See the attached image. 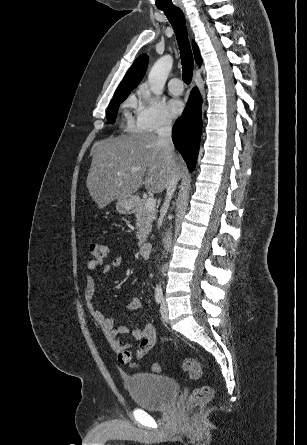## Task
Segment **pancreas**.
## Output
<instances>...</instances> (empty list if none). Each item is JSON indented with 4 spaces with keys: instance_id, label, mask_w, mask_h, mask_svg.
<instances>
[{
    "instance_id": "pancreas-1",
    "label": "pancreas",
    "mask_w": 307,
    "mask_h": 445,
    "mask_svg": "<svg viewBox=\"0 0 307 445\" xmlns=\"http://www.w3.org/2000/svg\"><path fill=\"white\" fill-rule=\"evenodd\" d=\"M145 204L146 198H142L135 208L138 245H143L144 241H146L147 235L152 229L153 220L157 216L156 208H148Z\"/></svg>"
}]
</instances>
